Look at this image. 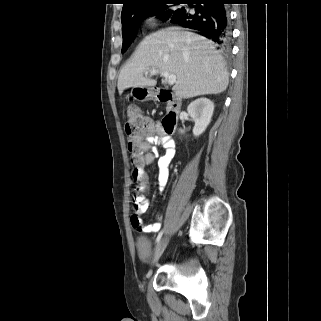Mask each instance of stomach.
<instances>
[{"mask_svg":"<svg viewBox=\"0 0 321 321\" xmlns=\"http://www.w3.org/2000/svg\"><path fill=\"white\" fill-rule=\"evenodd\" d=\"M131 95L135 99L142 101L151 97V91L146 87H134L131 91Z\"/></svg>","mask_w":321,"mask_h":321,"instance_id":"stomach-1","label":"stomach"}]
</instances>
